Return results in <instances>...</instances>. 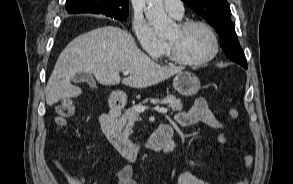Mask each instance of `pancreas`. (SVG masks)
I'll return each mask as SVG.
<instances>
[{
  "mask_svg": "<svg viewBox=\"0 0 293 184\" xmlns=\"http://www.w3.org/2000/svg\"><path fill=\"white\" fill-rule=\"evenodd\" d=\"M148 101H153L155 103L161 102L163 104L168 103V107H170L172 111H181L183 108L181 100L174 97L173 95H168L161 101L159 99H145L143 103H147ZM138 118V113L135 111L134 108H130L124 112V114L118 121V125L125 135L128 136L130 134L133 124L135 121L138 120Z\"/></svg>",
  "mask_w": 293,
  "mask_h": 184,
  "instance_id": "1",
  "label": "pancreas"
}]
</instances>
